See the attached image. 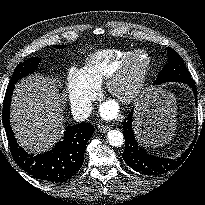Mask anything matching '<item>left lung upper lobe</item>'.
I'll list each match as a JSON object with an SVG mask.
<instances>
[{
  "mask_svg": "<svg viewBox=\"0 0 205 205\" xmlns=\"http://www.w3.org/2000/svg\"><path fill=\"white\" fill-rule=\"evenodd\" d=\"M168 63L159 73L155 83L186 82L192 80L179 54L168 48Z\"/></svg>",
  "mask_w": 205,
  "mask_h": 205,
  "instance_id": "obj_1",
  "label": "left lung upper lobe"
}]
</instances>
